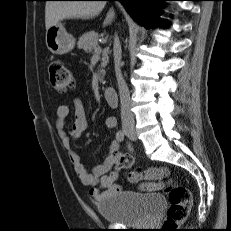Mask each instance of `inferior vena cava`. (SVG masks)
<instances>
[{
	"instance_id": "1",
	"label": "inferior vena cava",
	"mask_w": 231,
	"mask_h": 231,
	"mask_svg": "<svg viewBox=\"0 0 231 231\" xmlns=\"http://www.w3.org/2000/svg\"><path fill=\"white\" fill-rule=\"evenodd\" d=\"M115 73L118 82V89L121 103V121L123 126H134L135 121L131 111V100L128 86L121 72V45L117 35L114 37L113 46Z\"/></svg>"
}]
</instances>
